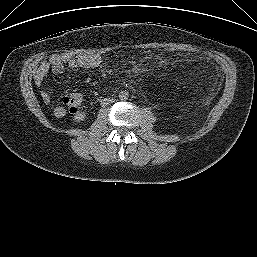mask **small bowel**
<instances>
[{
  "mask_svg": "<svg viewBox=\"0 0 257 257\" xmlns=\"http://www.w3.org/2000/svg\"><path fill=\"white\" fill-rule=\"evenodd\" d=\"M102 62V58L98 54H81V55H53L48 60L43 61L35 71L34 80L36 85L41 88V96L46 104L51 102L50 96L43 88L45 78L49 71L53 74H61L64 71L65 65L72 68L90 69L98 67ZM54 115L57 118L65 116L66 109L56 107Z\"/></svg>",
  "mask_w": 257,
  "mask_h": 257,
  "instance_id": "small-bowel-1",
  "label": "small bowel"
}]
</instances>
